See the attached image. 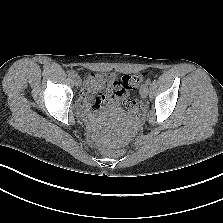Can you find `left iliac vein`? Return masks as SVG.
Returning <instances> with one entry per match:
<instances>
[{
	"mask_svg": "<svg viewBox=\"0 0 223 223\" xmlns=\"http://www.w3.org/2000/svg\"><path fill=\"white\" fill-rule=\"evenodd\" d=\"M140 95L142 98H146L148 95V86L147 85H143L140 89Z\"/></svg>",
	"mask_w": 223,
	"mask_h": 223,
	"instance_id": "obj_1",
	"label": "left iliac vein"
}]
</instances>
